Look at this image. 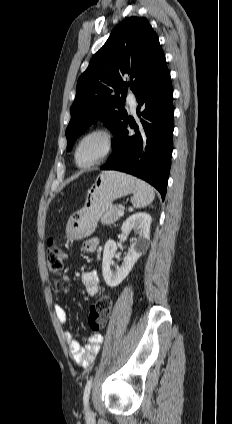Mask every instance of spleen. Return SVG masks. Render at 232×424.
Instances as JSON below:
<instances>
[{"label":"spleen","mask_w":232,"mask_h":424,"mask_svg":"<svg viewBox=\"0 0 232 424\" xmlns=\"http://www.w3.org/2000/svg\"><path fill=\"white\" fill-rule=\"evenodd\" d=\"M155 198L153 188L143 180H135V190L132 205L135 208H144L152 203Z\"/></svg>","instance_id":"obj_1"}]
</instances>
